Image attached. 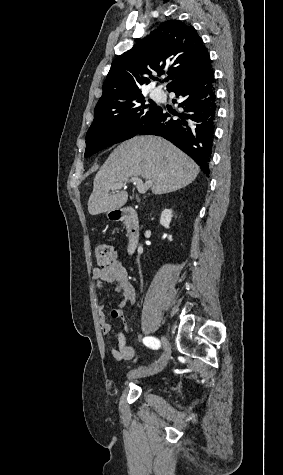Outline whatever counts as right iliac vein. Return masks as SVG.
I'll list each match as a JSON object with an SVG mask.
<instances>
[{
    "label": "right iliac vein",
    "mask_w": 283,
    "mask_h": 475,
    "mask_svg": "<svg viewBox=\"0 0 283 475\" xmlns=\"http://www.w3.org/2000/svg\"><path fill=\"white\" fill-rule=\"evenodd\" d=\"M162 343L164 345V353L163 355L156 361L154 362L149 368L146 369H139V370H131L128 374V378H138V377H147L154 375L158 372H160L162 369L165 368L167 365V362L170 357V343L168 340L163 336L162 337Z\"/></svg>",
    "instance_id": "63e3f726"
}]
</instances>
